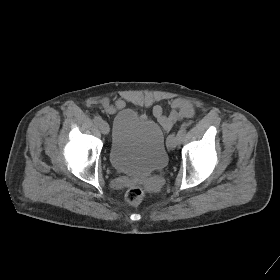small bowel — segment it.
<instances>
[{"label": "small bowel", "mask_w": 280, "mask_h": 280, "mask_svg": "<svg viewBox=\"0 0 280 280\" xmlns=\"http://www.w3.org/2000/svg\"><path fill=\"white\" fill-rule=\"evenodd\" d=\"M101 104L108 113H114L126 105L123 99H118L111 103L108 98L103 99ZM153 114L166 130H170L179 119L191 118L194 115V108L190 102L181 98H175L171 102V111L168 115L163 113V109L159 105L153 108Z\"/></svg>", "instance_id": "obj_1"}]
</instances>
